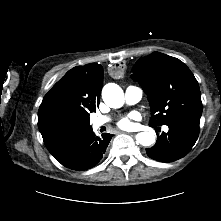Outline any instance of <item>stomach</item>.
I'll list each match as a JSON object with an SVG mask.
<instances>
[{
  "mask_svg": "<svg viewBox=\"0 0 221 221\" xmlns=\"http://www.w3.org/2000/svg\"><path fill=\"white\" fill-rule=\"evenodd\" d=\"M129 72V65L125 61H118L109 67V74L113 78H121Z\"/></svg>",
  "mask_w": 221,
  "mask_h": 221,
  "instance_id": "1",
  "label": "stomach"
}]
</instances>
